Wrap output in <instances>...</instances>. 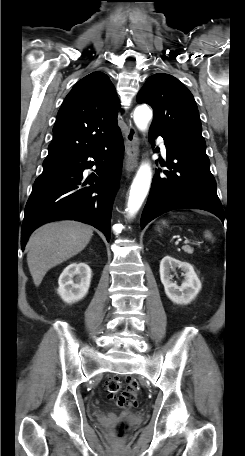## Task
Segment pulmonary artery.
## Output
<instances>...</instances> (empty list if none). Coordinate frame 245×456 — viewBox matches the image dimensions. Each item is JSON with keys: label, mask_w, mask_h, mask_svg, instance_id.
<instances>
[{"label": "pulmonary artery", "mask_w": 245, "mask_h": 456, "mask_svg": "<svg viewBox=\"0 0 245 456\" xmlns=\"http://www.w3.org/2000/svg\"><path fill=\"white\" fill-rule=\"evenodd\" d=\"M161 149H162V151H164V152L166 151L165 145H164L163 143L161 144Z\"/></svg>", "instance_id": "obj_1"}]
</instances>
